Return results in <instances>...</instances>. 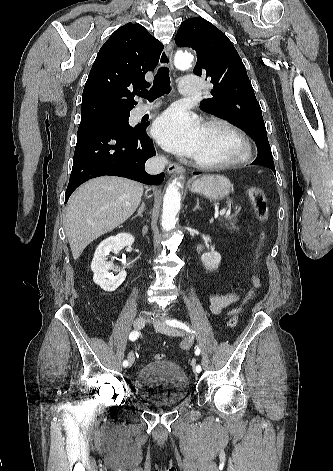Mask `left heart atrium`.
<instances>
[{
	"label": "left heart atrium",
	"mask_w": 333,
	"mask_h": 471,
	"mask_svg": "<svg viewBox=\"0 0 333 471\" xmlns=\"http://www.w3.org/2000/svg\"><path fill=\"white\" fill-rule=\"evenodd\" d=\"M202 125L197 116L182 108H171L153 125V135L166 150L194 157L201 140Z\"/></svg>",
	"instance_id": "1"
}]
</instances>
